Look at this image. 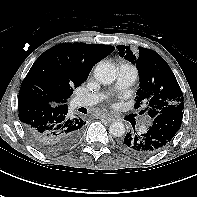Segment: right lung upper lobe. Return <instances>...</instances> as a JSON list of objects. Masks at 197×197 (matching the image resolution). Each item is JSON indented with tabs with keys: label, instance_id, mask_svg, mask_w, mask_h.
Segmentation results:
<instances>
[{
	"label": "right lung upper lobe",
	"instance_id": "right-lung-upper-lobe-1",
	"mask_svg": "<svg viewBox=\"0 0 197 197\" xmlns=\"http://www.w3.org/2000/svg\"><path fill=\"white\" fill-rule=\"evenodd\" d=\"M115 48L110 45L63 43L56 45L34 62L20 88L53 106L66 105L73 88L87 80L93 66Z\"/></svg>",
	"mask_w": 197,
	"mask_h": 197
}]
</instances>
